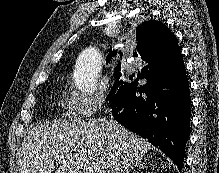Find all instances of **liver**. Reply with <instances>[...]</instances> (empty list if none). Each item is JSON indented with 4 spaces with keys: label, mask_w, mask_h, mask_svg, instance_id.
Listing matches in <instances>:
<instances>
[{
    "label": "liver",
    "mask_w": 219,
    "mask_h": 173,
    "mask_svg": "<svg viewBox=\"0 0 219 173\" xmlns=\"http://www.w3.org/2000/svg\"><path fill=\"white\" fill-rule=\"evenodd\" d=\"M150 149L147 140L106 118L46 123L29 129L19 167L20 173H126Z\"/></svg>",
    "instance_id": "obj_1"
}]
</instances>
